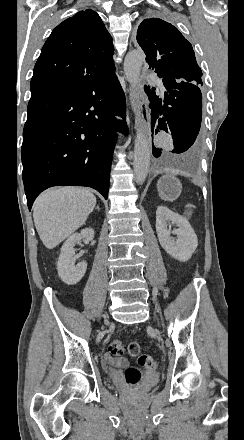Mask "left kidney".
Returning <instances> with one entry per match:
<instances>
[{
	"label": "left kidney",
	"mask_w": 244,
	"mask_h": 440,
	"mask_svg": "<svg viewBox=\"0 0 244 440\" xmlns=\"http://www.w3.org/2000/svg\"><path fill=\"white\" fill-rule=\"evenodd\" d=\"M169 222L176 224L177 230L172 232L167 228L171 226ZM156 232L165 252L180 262L190 260L198 246L197 236L189 222L183 216L169 210L167 206H158L156 210ZM170 234H176L177 240L171 238Z\"/></svg>",
	"instance_id": "obj_1"
}]
</instances>
